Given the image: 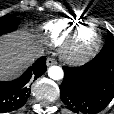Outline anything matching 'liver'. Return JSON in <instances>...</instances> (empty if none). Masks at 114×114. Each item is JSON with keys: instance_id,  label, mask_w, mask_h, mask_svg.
<instances>
[{"instance_id": "obj_1", "label": "liver", "mask_w": 114, "mask_h": 114, "mask_svg": "<svg viewBox=\"0 0 114 114\" xmlns=\"http://www.w3.org/2000/svg\"><path fill=\"white\" fill-rule=\"evenodd\" d=\"M42 50L34 36L26 31L7 34L0 38V80L17 77L30 63L28 54Z\"/></svg>"}]
</instances>
